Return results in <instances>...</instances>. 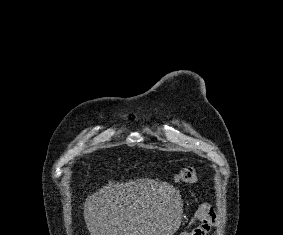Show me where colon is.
Wrapping results in <instances>:
<instances>
[{"mask_svg":"<svg viewBox=\"0 0 283 235\" xmlns=\"http://www.w3.org/2000/svg\"><path fill=\"white\" fill-rule=\"evenodd\" d=\"M198 173L193 167H184L176 175V180L182 183H196L198 181Z\"/></svg>","mask_w":283,"mask_h":235,"instance_id":"colon-1","label":"colon"}]
</instances>
